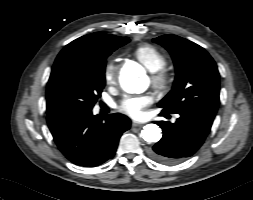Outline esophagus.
I'll return each instance as SVG.
<instances>
[{
	"label": "esophagus",
	"mask_w": 253,
	"mask_h": 200,
	"mask_svg": "<svg viewBox=\"0 0 253 200\" xmlns=\"http://www.w3.org/2000/svg\"><path fill=\"white\" fill-rule=\"evenodd\" d=\"M139 126H142V124L138 123V122H133L132 123V127H139Z\"/></svg>",
	"instance_id": "esophagus-1"
}]
</instances>
